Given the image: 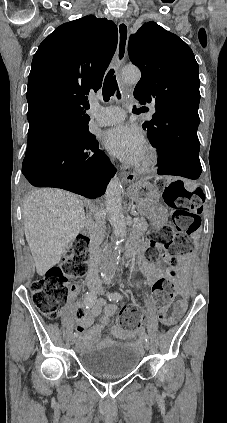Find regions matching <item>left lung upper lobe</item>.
I'll return each mask as SVG.
<instances>
[{"label": "left lung upper lobe", "instance_id": "5c2ea615", "mask_svg": "<svg viewBox=\"0 0 227 423\" xmlns=\"http://www.w3.org/2000/svg\"><path fill=\"white\" fill-rule=\"evenodd\" d=\"M128 52L141 70L134 97L140 104L152 103L156 108L152 120L143 123L150 140L182 122L200 121L198 63L183 40L155 22H147L130 36Z\"/></svg>", "mask_w": 227, "mask_h": 423}]
</instances>
